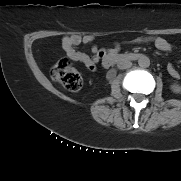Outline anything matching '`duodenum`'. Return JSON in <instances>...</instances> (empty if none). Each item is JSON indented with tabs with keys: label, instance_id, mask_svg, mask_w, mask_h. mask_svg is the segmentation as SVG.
I'll return each instance as SVG.
<instances>
[{
	"label": "duodenum",
	"instance_id": "duodenum-1",
	"mask_svg": "<svg viewBox=\"0 0 181 181\" xmlns=\"http://www.w3.org/2000/svg\"><path fill=\"white\" fill-rule=\"evenodd\" d=\"M141 54L138 53H125V54H106L103 57V65L107 68L116 64H124L126 62L135 61L139 59ZM110 77L114 75L112 71L108 74Z\"/></svg>",
	"mask_w": 181,
	"mask_h": 181
}]
</instances>
